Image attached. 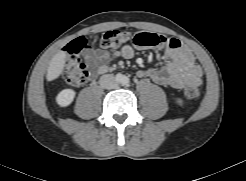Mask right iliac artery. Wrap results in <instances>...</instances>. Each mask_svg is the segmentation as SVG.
Here are the masks:
<instances>
[{"label":"right iliac artery","mask_w":246,"mask_h":181,"mask_svg":"<svg viewBox=\"0 0 246 181\" xmlns=\"http://www.w3.org/2000/svg\"><path fill=\"white\" fill-rule=\"evenodd\" d=\"M118 79H119V80H121V79H122V76H121L120 74L118 75Z\"/></svg>","instance_id":"obj_1"}]
</instances>
